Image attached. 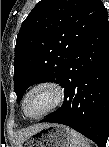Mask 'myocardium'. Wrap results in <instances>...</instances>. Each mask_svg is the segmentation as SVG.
<instances>
[{
	"label": "myocardium",
	"mask_w": 109,
	"mask_h": 147,
	"mask_svg": "<svg viewBox=\"0 0 109 147\" xmlns=\"http://www.w3.org/2000/svg\"><path fill=\"white\" fill-rule=\"evenodd\" d=\"M40 89H49L54 93V99L52 101V103L40 114L38 115H32L28 112L27 110V99L28 97L35 91L40 90ZM64 97H65V91L63 86L54 80H46L43 82H40L38 84H36L35 86H33L24 96L23 98V102H22V107H23V111L24 113L34 119H38L41 117H44L50 113H52L53 111H55L64 101Z\"/></svg>",
	"instance_id": "obj_1"
}]
</instances>
